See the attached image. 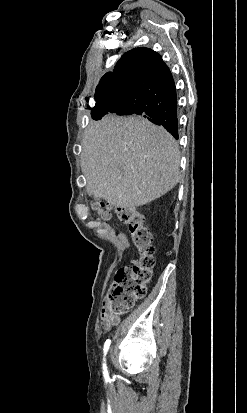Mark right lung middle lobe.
Listing matches in <instances>:
<instances>
[{"mask_svg": "<svg viewBox=\"0 0 247 413\" xmlns=\"http://www.w3.org/2000/svg\"><path fill=\"white\" fill-rule=\"evenodd\" d=\"M134 98L135 89L127 82H101L98 84L95 93L96 102L103 101L110 97Z\"/></svg>", "mask_w": 247, "mask_h": 413, "instance_id": "1", "label": "right lung middle lobe"}]
</instances>
